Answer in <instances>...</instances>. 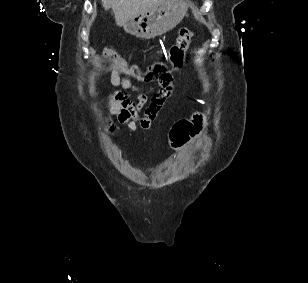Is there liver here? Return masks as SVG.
<instances>
[{
    "label": "liver",
    "mask_w": 308,
    "mask_h": 283,
    "mask_svg": "<svg viewBox=\"0 0 308 283\" xmlns=\"http://www.w3.org/2000/svg\"><path fill=\"white\" fill-rule=\"evenodd\" d=\"M170 0H102V5L111 7L118 26H123L130 18L143 13L154 6Z\"/></svg>",
    "instance_id": "obj_1"
}]
</instances>
